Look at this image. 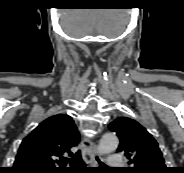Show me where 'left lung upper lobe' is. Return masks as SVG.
Returning <instances> with one entry per match:
<instances>
[{"label": "left lung upper lobe", "instance_id": "5c2ea615", "mask_svg": "<svg viewBox=\"0 0 184 173\" xmlns=\"http://www.w3.org/2000/svg\"><path fill=\"white\" fill-rule=\"evenodd\" d=\"M117 134L120 144L117 151L123 153L133 167H126L124 173H167L162 152L152 135L133 119L121 117L109 124Z\"/></svg>", "mask_w": 184, "mask_h": 173}]
</instances>
